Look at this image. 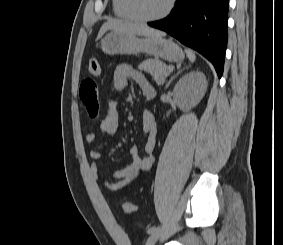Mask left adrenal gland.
<instances>
[{"label":"left adrenal gland","instance_id":"left-adrenal-gland-1","mask_svg":"<svg viewBox=\"0 0 283 245\" xmlns=\"http://www.w3.org/2000/svg\"><path fill=\"white\" fill-rule=\"evenodd\" d=\"M179 73H180V71H179L176 75H174V76H172V77L170 78V80H169L168 83L166 84L165 88H167V87L170 85V83L172 82V80H173Z\"/></svg>","mask_w":283,"mask_h":245}]
</instances>
